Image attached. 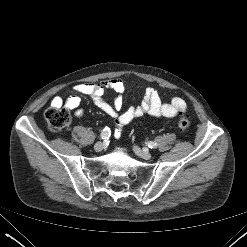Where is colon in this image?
<instances>
[{
  "instance_id": "1",
  "label": "colon",
  "mask_w": 247,
  "mask_h": 247,
  "mask_svg": "<svg viewBox=\"0 0 247 247\" xmlns=\"http://www.w3.org/2000/svg\"><path fill=\"white\" fill-rule=\"evenodd\" d=\"M45 119L50 130L58 132L67 127L70 123L71 117L67 109L58 106H52L45 111ZM178 127L181 130H187L190 126V121L187 117L182 116L178 119ZM121 135V130L118 132Z\"/></svg>"
}]
</instances>
